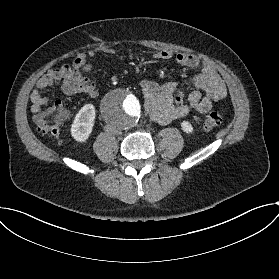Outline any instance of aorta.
Masks as SVG:
<instances>
[{
	"label": "aorta",
	"instance_id": "762f6f07",
	"mask_svg": "<svg viewBox=\"0 0 279 279\" xmlns=\"http://www.w3.org/2000/svg\"><path fill=\"white\" fill-rule=\"evenodd\" d=\"M101 111L107 124L116 130H126L138 122L142 107L139 98L128 89L109 92L103 99Z\"/></svg>",
	"mask_w": 279,
	"mask_h": 279
}]
</instances>
